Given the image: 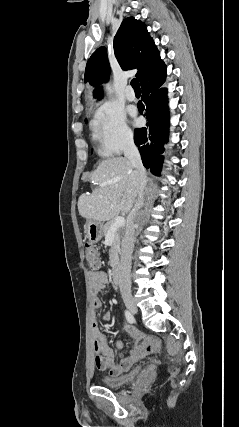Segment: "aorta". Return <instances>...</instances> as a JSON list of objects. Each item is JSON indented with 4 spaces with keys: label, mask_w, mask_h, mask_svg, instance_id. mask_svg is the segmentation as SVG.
I'll list each match as a JSON object with an SVG mask.
<instances>
[{
    "label": "aorta",
    "mask_w": 239,
    "mask_h": 427,
    "mask_svg": "<svg viewBox=\"0 0 239 427\" xmlns=\"http://www.w3.org/2000/svg\"><path fill=\"white\" fill-rule=\"evenodd\" d=\"M106 91H107L108 94H112L113 93V90H112V88H111V86L109 84L106 85Z\"/></svg>",
    "instance_id": "1"
}]
</instances>
